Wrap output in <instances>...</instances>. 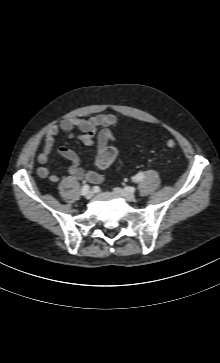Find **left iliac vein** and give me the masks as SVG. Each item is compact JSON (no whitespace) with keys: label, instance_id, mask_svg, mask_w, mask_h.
<instances>
[{"label":"left iliac vein","instance_id":"obj_1","mask_svg":"<svg viewBox=\"0 0 220 363\" xmlns=\"http://www.w3.org/2000/svg\"><path fill=\"white\" fill-rule=\"evenodd\" d=\"M114 191L129 202H133L136 199V196L131 189L115 188Z\"/></svg>","mask_w":220,"mask_h":363}]
</instances>
